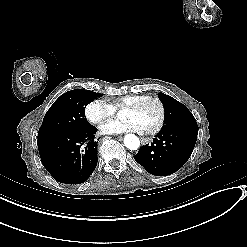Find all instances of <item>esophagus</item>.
<instances>
[{"label":"esophagus","mask_w":247,"mask_h":247,"mask_svg":"<svg viewBox=\"0 0 247 247\" xmlns=\"http://www.w3.org/2000/svg\"><path fill=\"white\" fill-rule=\"evenodd\" d=\"M140 139H141L142 145H145L147 143V141L144 138H140Z\"/></svg>","instance_id":"esophagus-1"}]
</instances>
